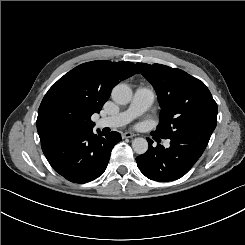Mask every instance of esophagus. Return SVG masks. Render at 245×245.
<instances>
[{"label":"esophagus","mask_w":245,"mask_h":245,"mask_svg":"<svg viewBox=\"0 0 245 245\" xmlns=\"http://www.w3.org/2000/svg\"><path fill=\"white\" fill-rule=\"evenodd\" d=\"M134 136H136V134H134V133H132V132H124L123 134H122V138L124 139V138H132V137H134Z\"/></svg>","instance_id":"esophagus-1"}]
</instances>
